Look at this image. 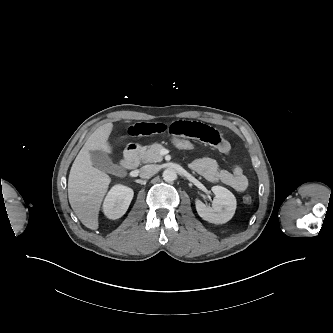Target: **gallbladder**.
<instances>
[{
	"label": "gallbladder",
	"mask_w": 333,
	"mask_h": 333,
	"mask_svg": "<svg viewBox=\"0 0 333 333\" xmlns=\"http://www.w3.org/2000/svg\"><path fill=\"white\" fill-rule=\"evenodd\" d=\"M90 156L93 166L103 172L117 176L124 171L122 167L114 164L103 150L90 151Z\"/></svg>",
	"instance_id": "gallbladder-1"
}]
</instances>
